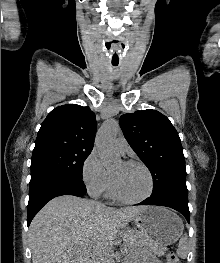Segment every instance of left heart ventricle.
I'll return each instance as SVG.
<instances>
[{"label": "left heart ventricle", "instance_id": "b2bd125f", "mask_svg": "<svg viewBox=\"0 0 220 263\" xmlns=\"http://www.w3.org/2000/svg\"><path fill=\"white\" fill-rule=\"evenodd\" d=\"M111 173L115 178L118 191L124 197L139 198L147 193L149 178L142 167L119 162Z\"/></svg>", "mask_w": 220, "mask_h": 263}]
</instances>
